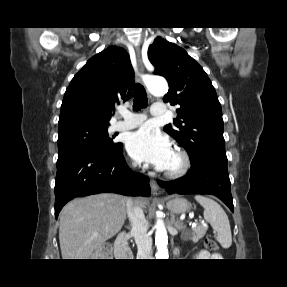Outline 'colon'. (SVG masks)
Instances as JSON below:
<instances>
[{"mask_svg": "<svg viewBox=\"0 0 287 287\" xmlns=\"http://www.w3.org/2000/svg\"><path fill=\"white\" fill-rule=\"evenodd\" d=\"M204 245L210 251H216L218 249L216 242L209 238L205 240Z\"/></svg>", "mask_w": 287, "mask_h": 287, "instance_id": "5ec220e1", "label": "colon"}]
</instances>
